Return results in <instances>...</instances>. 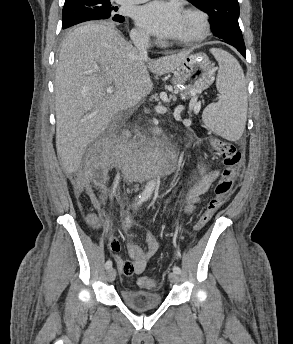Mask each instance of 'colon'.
I'll return each instance as SVG.
<instances>
[{"mask_svg":"<svg viewBox=\"0 0 293 344\" xmlns=\"http://www.w3.org/2000/svg\"><path fill=\"white\" fill-rule=\"evenodd\" d=\"M213 148L219 153L223 160V170L215 188V195L211 198L203 211L201 217L194 226L195 231L202 230L211 220L215 212L224 204L230 196L234 183L237 179L239 168L242 162V153L238 147L230 141L214 138L211 141ZM92 223H97L99 214L92 211L89 215ZM138 284L146 289H155L158 284L154 279L143 277Z\"/></svg>","mask_w":293,"mask_h":344,"instance_id":"obj_1","label":"colon"}]
</instances>
